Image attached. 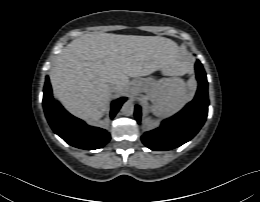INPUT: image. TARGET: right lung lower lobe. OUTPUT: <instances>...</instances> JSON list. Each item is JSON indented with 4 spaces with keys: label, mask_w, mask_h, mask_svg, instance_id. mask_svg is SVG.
<instances>
[{
    "label": "right lung lower lobe",
    "mask_w": 260,
    "mask_h": 202,
    "mask_svg": "<svg viewBox=\"0 0 260 202\" xmlns=\"http://www.w3.org/2000/svg\"><path fill=\"white\" fill-rule=\"evenodd\" d=\"M43 92V107L48 123L64 141L86 150L101 148L109 142L110 134L105 129L88 126L84 121L69 114L58 102H54L48 76ZM125 101L126 97H121L112 102L111 118Z\"/></svg>",
    "instance_id": "right-lung-lower-lobe-1"
}]
</instances>
